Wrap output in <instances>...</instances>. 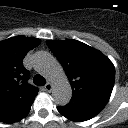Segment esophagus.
Returning a JSON list of instances; mask_svg holds the SVG:
<instances>
[{"label":"esophagus","instance_id":"34e87169","mask_svg":"<svg viewBox=\"0 0 128 128\" xmlns=\"http://www.w3.org/2000/svg\"><path fill=\"white\" fill-rule=\"evenodd\" d=\"M45 91L47 92H51L52 90V84L50 82H48L45 86H44Z\"/></svg>","mask_w":128,"mask_h":128}]
</instances>
